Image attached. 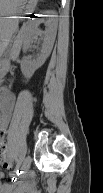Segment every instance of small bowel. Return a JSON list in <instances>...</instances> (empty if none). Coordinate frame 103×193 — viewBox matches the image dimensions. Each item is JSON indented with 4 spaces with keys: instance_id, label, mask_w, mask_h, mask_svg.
I'll return each instance as SVG.
<instances>
[{
    "instance_id": "c3829d8e",
    "label": "small bowel",
    "mask_w": 103,
    "mask_h": 193,
    "mask_svg": "<svg viewBox=\"0 0 103 193\" xmlns=\"http://www.w3.org/2000/svg\"><path fill=\"white\" fill-rule=\"evenodd\" d=\"M16 99L15 96L9 92L2 93V119H1V131L4 136L7 132L8 119L15 107ZM4 177V174H1ZM12 183H6L3 185V193H38L34 180L28 176H21L13 174L11 176Z\"/></svg>"
}]
</instances>
